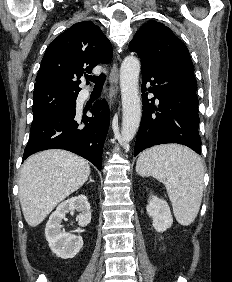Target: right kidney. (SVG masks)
<instances>
[{
	"mask_svg": "<svg viewBox=\"0 0 232 282\" xmlns=\"http://www.w3.org/2000/svg\"><path fill=\"white\" fill-rule=\"evenodd\" d=\"M78 211V224L81 227L87 226L91 221V211L88 199L84 195L72 197L60 205L54 211L46 224L45 236L49 247L53 253L63 259L75 257L83 247V239L81 236L72 235L61 230L62 219L69 211Z\"/></svg>",
	"mask_w": 232,
	"mask_h": 282,
	"instance_id": "obj_1",
	"label": "right kidney"
}]
</instances>
